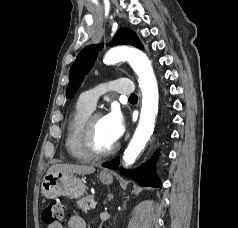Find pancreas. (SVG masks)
Returning a JSON list of instances; mask_svg holds the SVG:
<instances>
[{"instance_id": "pancreas-1", "label": "pancreas", "mask_w": 238, "mask_h": 228, "mask_svg": "<svg viewBox=\"0 0 238 228\" xmlns=\"http://www.w3.org/2000/svg\"><path fill=\"white\" fill-rule=\"evenodd\" d=\"M93 200V195H87L77 201V205L82 211L87 213L90 210L89 203Z\"/></svg>"}]
</instances>
